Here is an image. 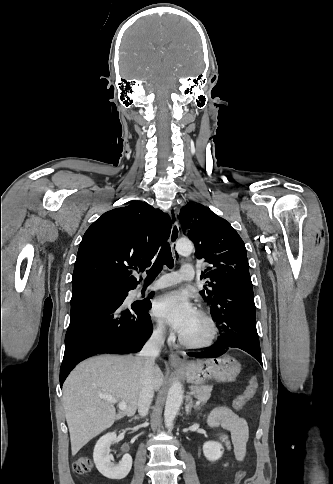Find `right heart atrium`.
I'll use <instances>...</instances> for the list:
<instances>
[{"label":"right heart atrium","instance_id":"obj_1","mask_svg":"<svg viewBox=\"0 0 333 484\" xmlns=\"http://www.w3.org/2000/svg\"><path fill=\"white\" fill-rule=\"evenodd\" d=\"M164 335H165V326L163 325V323L158 322L154 328V336L157 339H162Z\"/></svg>","mask_w":333,"mask_h":484}]
</instances>
